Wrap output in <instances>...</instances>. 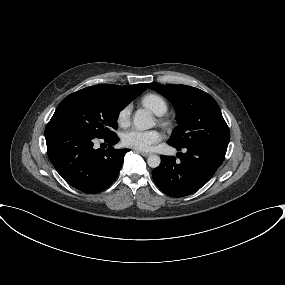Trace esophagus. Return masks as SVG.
I'll use <instances>...</instances> for the list:
<instances>
[{
  "mask_svg": "<svg viewBox=\"0 0 285 285\" xmlns=\"http://www.w3.org/2000/svg\"><path fill=\"white\" fill-rule=\"evenodd\" d=\"M139 154H141L144 157H148L151 155V153H147V152H142V151H137Z\"/></svg>",
  "mask_w": 285,
  "mask_h": 285,
  "instance_id": "obj_1",
  "label": "esophagus"
}]
</instances>
